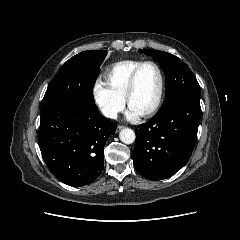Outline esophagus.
Instances as JSON below:
<instances>
[{
	"mask_svg": "<svg viewBox=\"0 0 240 240\" xmlns=\"http://www.w3.org/2000/svg\"><path fill=\"white\" fill-rule=\"evenodd\" d=\"M122 128H123V126H122V125H118V127H117L116 131H117V132H119V131H120Z\"/></svg>",
	"mask_w": 240,
	"mask_h": 240,
	"instance_id": "34e87169",
	"label": "esophagus"
}]
</instances>
